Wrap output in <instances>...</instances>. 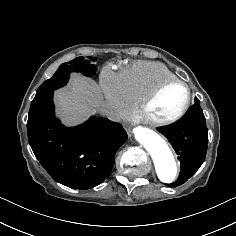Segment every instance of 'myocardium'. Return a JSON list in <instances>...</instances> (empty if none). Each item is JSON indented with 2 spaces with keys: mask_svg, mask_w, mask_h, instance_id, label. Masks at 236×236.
Returning <instances> with one entry per match:
<instances>
[{
  "mask_svg": "<svg viewBox=\"0 0 236 236\" xmlns=\"http://www.w3.org/2000/svg\"><path fill=\"white\" fill-rule=\"evenodd\" d=\"M181 85L186 90V100L182 108L172 117L165 120H157L149 116L148 112L151 105L159 97V95L171 85ZM192 104V91L190 86L178 78L167 79L157 84L139 103L138 112L140 120L143 124L152 128H165L180 121L190 110Z\"/></svg>",
  "mask_w": 236,
  "mask_h": 236,
  "instance_id": "myocardium-1",
  "label": "myocardium"
}]
</instances>
